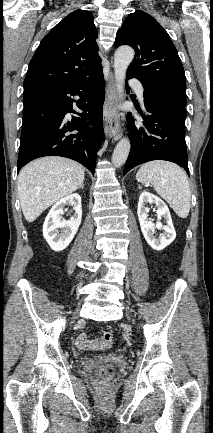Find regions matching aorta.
<instances>
[{"instance_id": "aorta-1", "label": "aorta", "mask_w": 213, "mask_h": 433, "mask_svg": "<svg viewBox=\"0 0 213 433\" xmlns=\"http://www.w3.org/2000/svg\"><path fill=\"white\" fill-rule=\"evenodd\" d=\"M133 58L134 50L128 46L119 47L114 54V75L116 88L121 100L124 95L127 68ZM130 147L131 145L128 138H122L118 142L112 155V163L115 167H121L126 162Z\"/></svg>"}]
</instances>
